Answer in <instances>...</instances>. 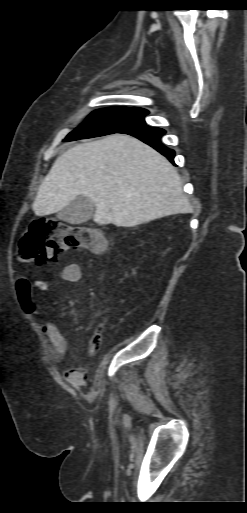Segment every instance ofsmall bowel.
Segmentation results:
<instances>
[{
    "label": "small bowel",
    "mask_w": 247,
    "mask_h": 513,
    "mask_svg": "<svg viewBox=\"0 0 247 513\" xmlns=\"http://www.w3.org/2000/svg\"><path fill=\"white\" fill-rule=\"evenodd\" d=\"M82 277L81 267L78 263H70L63 267L59 279L66 282H78ZM53 284L52 280H46L33 285L25 276H20L16 281V292L20 306L25 313L34 320H37L40 311L33 299L35 291H42ZM41 329L47 339L51 359L53 361H62L68 351V344L60 332L59 328L50 321H42ZM90 348H88V353ZM65 378L72 385L81 386L84 376L77 368L66 371Z\"/></svg>",
    "instance_id": "obj_1"
}]
</instances>
